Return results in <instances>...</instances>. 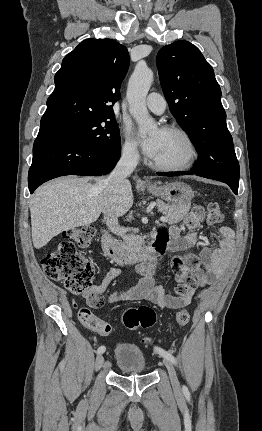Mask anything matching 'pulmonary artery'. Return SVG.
I'll use <instances>...</instances> for the list:
<instances>
[{"label": "pulmonary artery", "instance_id": "pulmonary-artery-1", "mask_svg": "<svg viewBox=\"0 0 262 431\" xmlns=\"http://www.w3.org/2000/svg\"><path fill=\"white\" fill-rule=\"evenodd\" d=\"M147 107L156 114H161L165 111L166 101L159 93H150L146 99Z\"/></svg>", "mask_w": 262, "mask_h": 431}]
</instances>
